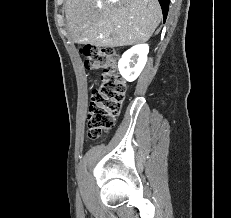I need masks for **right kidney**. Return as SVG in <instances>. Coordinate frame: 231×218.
<instances>
[{
    "mask_svg": "<svg viewBox=\"0 0 231 218\" xmlns=\"http://www.w3.org/2000/svg\"><path fill=\"white\" fill-rule=\"evenodd\" d=\"M149 52L147 44L133 46L127 50L118 62L119 72L127 81H134L143 70Z\"/></svg>",
    "mask_w": 231,
    "mask_h": 218,
    "instance_id": "obj_1",
    "label": "right kidney"
}]
</instances>
